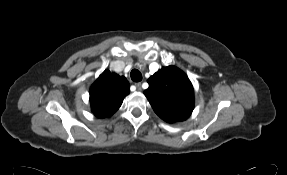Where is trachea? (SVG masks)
Returning a JSON list of instances; mask_svg holds the SVG:
<instances>
[{"label": "trachea", "mask_w": 287, "mask_h": 175, "mask_svg": "<svg viewBox=\"0 0 287 175\" xmlns=\"http://www.w3.org/2000/svg\"><path fill=\"white\" fill-rule=\"evenodd\" d=\"M130 76L134 82H140L142 80V74L137 69H133L130 73Z\"/></svg>", "instance_id": "1"}]
</instances>
